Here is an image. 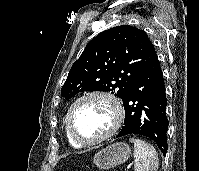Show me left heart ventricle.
Returning <instances> with one entry per match:
<instances>
[{
	"label": "left heart ventricle",
	"mask_w": 199,
	"mask_h": 171,
	"mask_svg": "<svg viewBox=\"0 0 199 171\" xmlns=\"http://www.w3.org/2000/svg\"><path fill=\"white\" fill-rule=\"evenodd\" d=\"M113 122L112 107L101 98H89L82 101L72 114L73 128L83 139H94L104 135Z\"/></svg>",
	"instance_id": "1"
}]
</instances>
